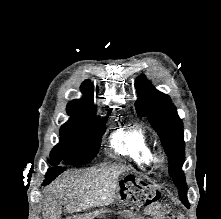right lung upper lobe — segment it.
<instances>
[{
  "label": "right lung upper lobe",
  "instance_id": "1",
  "mask_svg": "<svg viewBox=\"0 0 221 219\" xmlns=\"http://www.w3.org/2000/svg\"><path fill=\"white\" fill-rule=\"evenodd\" d=\"M81 92L84 95L82 99L73 100L67 105V114L71 117L70 119L78 121L100 120L99 117L96 118L95 116L94 87L89 80L83 82Z\"/></svg>",
  "mask_w": 221,
  "mask_h": 219
}]
</instances>
